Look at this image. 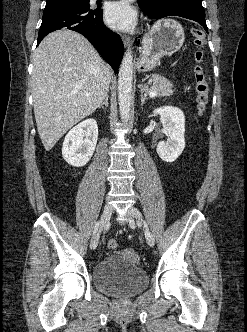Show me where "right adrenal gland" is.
Here are the masks:
<instances>
[{
  "instance_id": "1",
  "label": "right adrenal gland",
  "mask_w": 247,
  "mask_h": 332,
  "mask_svg": "<svg viewBox=\"0 0 247 332\" xmlns=\"http://www.w3.org/2000/svg\"><path fill=\"white\" fill-rule=\"evenodd\" d=\"M108 98H109V96L106 95L104 101L100 104L99 108L103 107L104 105H105V107L109 106L108 105Z\"/></svg>"
}]
</instances>
